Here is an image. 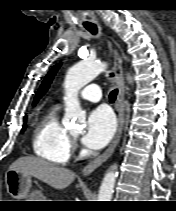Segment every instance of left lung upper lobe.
<instances>
[{"label": "left lung upper lobe", "mask_w": 176, "mask_h": 211, "mask_svg": "<svg viewBox=\"0 0 176 211\" xmlns=\"http://www.w3.org/2000/svg\"><path fill=\"white\" fill-rule=\"evenodd\" d=\"M61 63L60 64H57L55 65L50 71L49 73L47 74V76L45 77L43 83L41 84L37 94H36V97L34 99V105L37 103V101L39 100V98L47 91L54 75L56 74L58 68L60 67Z\"/></svg>", "instance_id": "left-lung-upper-lobe-1"}]
</instances>
